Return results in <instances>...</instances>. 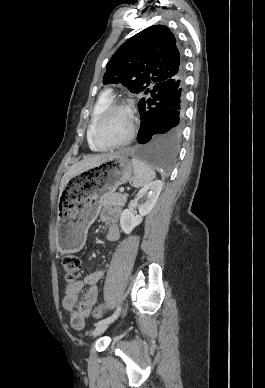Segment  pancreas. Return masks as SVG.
<instances>
[{"instance_id":"obj_1","label":"pancreas","mask_w":265,"mask_h":388,"mask_svg":"<svg viewBox=\"0 0 265 388\" xmlns=\"http://www.w3.org/2000/svg\"><path fill=\"white\" fill-rule=\"evenodd\" d=\"M127 198L125 194H103L100 198V206H124Z\"/></svg>"}]
</instances>
